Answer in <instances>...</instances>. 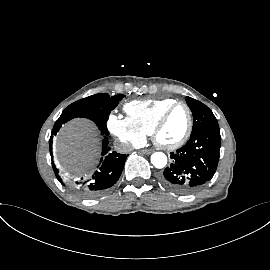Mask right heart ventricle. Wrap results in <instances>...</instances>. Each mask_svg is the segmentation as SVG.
<instances>
[{
  "label": "right heart ventricle",
  "mask_w": 270,
  "mask_h": 270,
  "mask_svg": "<svg viewBox=\"0 0 270 270\" xmlns=\"http://www.w3.org/2000/svg\"><path fill=\"white\" fill-rule=\"evenodd\" d=\"M175 102L173 98L134 100L126 103L124 110L127 117L144 135H151L158 118Z\"/></svg>",
  "instance_id": "obj_1"
}]
</instances>
